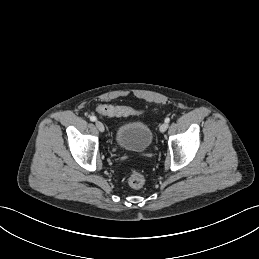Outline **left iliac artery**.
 Masks as SVG:
<instances>
[{"instance_id":"left-iliac-artery-1","label":"left iliac artery","mask_w":259,"mask_h":259,"mask_svg":"<svg viewBox=\"0 0 259 259\" xmlns=\"http://www.w3.org/2000/svg\"><path fill=\"white\" fill-rule=\"evenodd\" d=\"M169 122H170V118H166L165 123H169Z\"/></svg>"}]
</instances>
